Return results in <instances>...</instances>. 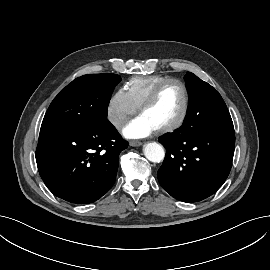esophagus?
Returning <instances> with one entry per match:
<instances>
[{"label": "esophagus", "mask_w": 270, "mask_h": 270, "mask_svg": "<svg viewBox=\"0 0 270 270\" xmlns=\"http://www.w3.org/2000/svg\"><path fill=\"white\" fill-rule=\"evenodd\" d=\"M141 145H142V143L140 141H131L130 142V146H132V147H139Z\"/></svg>", "instance_id": "obj_1"}]
</instances>
